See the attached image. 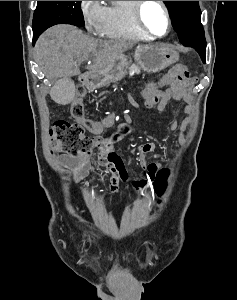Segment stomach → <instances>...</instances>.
I'll list each match as a JSON object with an SVG mask.
<instances>
[{
    "mask_svg": "<svg viewBox=\"0 0 237 300\" xmlns=\"http://www.w3.org/2000/svg\"><path fill=\"white\" fill-rule=\"evenodd\" d=\"M134 59L139 67L147 73H159L166 67L179 61V53L175 49H170L167 45H140L135 49ZM128 57L119 55L112 65H107L104 69L97 71L99 87L107 83L121 81L125 75Z\"/></svg>",
    "mask_w": 237,
    "mask_h": 300,
    "instance_id": "0dacf381",
    "label": "stomach"
}]
</instances>
